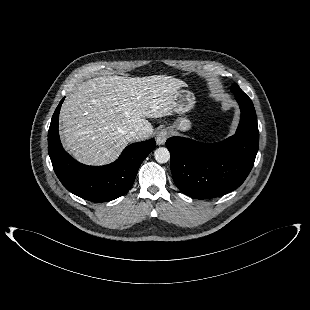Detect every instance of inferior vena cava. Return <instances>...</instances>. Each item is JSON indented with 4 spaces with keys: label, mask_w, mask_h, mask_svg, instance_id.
<instances>
[{
    "label": "inferior vena cava",
    "mask_w": 310,
    "mask_h": 310,
    "mask_svg": "<svg viewBox=\"0 0 310 310\" xmlns=\"http://www.w3.org/2000/svg\"><path fill=\"white\" fill-rule=\"evenodd\" d=\"M129 137L132 141L142 140L144 138V133L140 130H133L129 132Z\"/></svg>",
    "instance_id": "1"
}]
</instances>
